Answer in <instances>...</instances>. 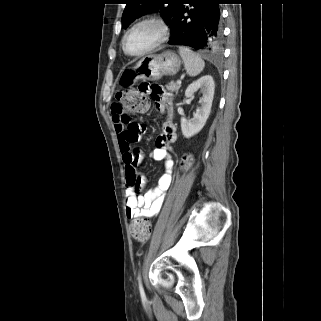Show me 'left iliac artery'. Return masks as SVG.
Instances as JSON below:
<instances>
[{"mask_svg": "<svg viewBox=\"0 0 321 321\" xmlns=\"http://www.w3.org/2000/svg\"><path fill=\"white\" fill-rule=\"evenodd\" d=\"M138 283H139V291L141 296H144V289H143V285H142V281H141V275H138Z\"/></svg>", "mask_w": 321, "mask_h": 321, "instance_id": "left-iliac-artery-1", "label": "left iliac artery"}]
</instances>
